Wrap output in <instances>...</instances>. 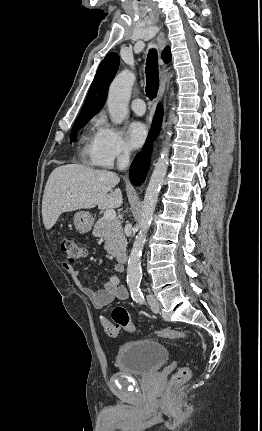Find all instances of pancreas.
Masks as SVG:
<instances>
[{
	"label": "pancreas",
	"instance_id": "obj_1",
	"mask_svg": "<svg viewBox=\"0 0 262 431\" xmlns=\"http://www.w3.org/2000/svg\"><path fill=\"white\" fill-rule=\"evenodd\" d=\"M93 236L102 238L105 241L104 248L112 255H117L126 249L127 241L121 222L117 218L113 220L100 218L94 225Z\"/></svg>",
	"mask_w": 262,
	"mask_h": 431
}]
</instances>
